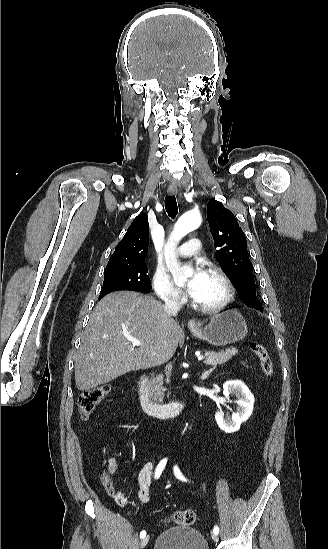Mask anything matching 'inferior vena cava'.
I'll return each instance as SVG.
<instances>
[{
  "label": "inferior vena cava",
  "mask_w": 328,
  "mask_h": 549,
  "mask_svg": "<svg viewBox=\"0 0 328 549\" xmlns=\"http://www.w3.org/2000/svg\"><path fill=\"white\" fill-rule=\"evenodd\" d=\"M180 309L181 303H179V299H167V301H165L164 313H166L168 317H176Z\"/></svg>",
  "instance_id": "1"
}]
</instances>
